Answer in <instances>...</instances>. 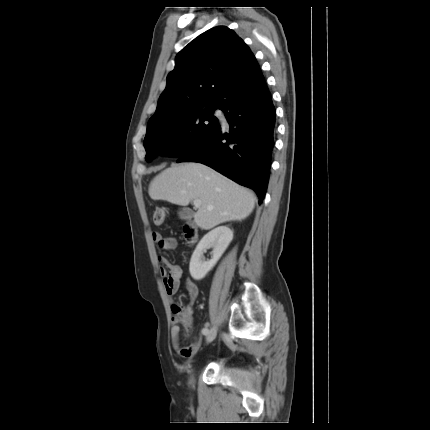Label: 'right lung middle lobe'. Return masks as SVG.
<instances>
[{
  "mask_svg": "<svg viewBox=\"0 0 430 430\" xmlns=\"http://www.w3.org/2000/svg\"><path fill=\"white\" fill-rule=\"evenodd\" d=\"M214 104L187 110L147 127L144 139L146 160L157 155L180 158L196 150L219 127Z\"/></svg>",
  "mask_w": 430,
  "mask_h": 430,
  "instance_id": "right-lung-middle-lobe-1",
  "label": "right lung middle lobe"
}]
</instances>
